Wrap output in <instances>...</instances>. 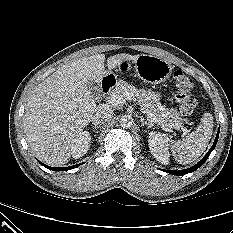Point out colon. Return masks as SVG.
I'll return each instance as SVG.
<instances>
[{"label":"colon","mask_w":233,"mask_h":233,"mask_svg":"<svg viewBox=\"0 0 233 233\" xmlns=\"http://www.w3.org/2000/svg\"><path fill=\"white\" fill-rule=\"evenodd\" d=\"M177 90L176 100L183 115H191L197 106V101L192 93L193 80L182 70H176L173 75Z\"/></svg>","instance_id":"colon-1"}]
</instances>
